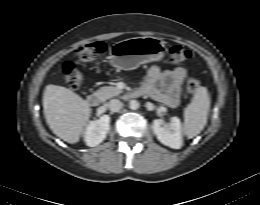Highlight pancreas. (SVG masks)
<instances>
[{"instance_id": "pancreas-1", "label": "pancreas", "mask_w": 260, "mask_h": 205, "mask_svg": "<svg viewBox=\"0 0 260 205\" xmlns=\"http://www.w3.org/2000/svg\"><path fill=\"white\" fill-rule=\"evenodd\" d=\"M120 93H122V90H120L119 88L114 87V86H104L96 91V95L102 101L108 100L114 96L119 95Z\"/></svg>"}]
</instances>
